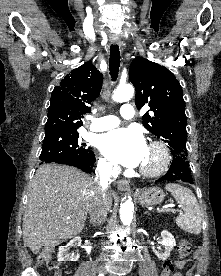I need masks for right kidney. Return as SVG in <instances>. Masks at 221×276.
Here are the masks:
<instances>
[{"mask_svg": "<svg viewBox=\"0 0 221 276\" xmlns=\"http://www.w3.org/2000/svg\"><path fill=\"white\" fill-rule=\"evenodd\" d=\"M81 238L80 237H75L67 245L65 246H60L59 251H58V261H78L80 258L79 254H74V253H68V249L73 246H80L81 245Z\"/></svg>", "mask_w": 221, "mask_h": 276, "instance_id": "ca27d5eb", "label": "right kidney"}]
</instances>
